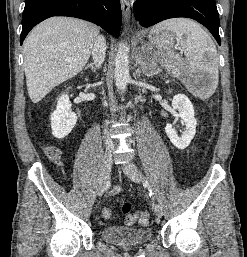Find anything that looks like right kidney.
I'll return each instance as SVG.
<instances>
[{
	"label": "right kidney",
	"mask_w": 247,
	"mask_h": 257,
	"mask_svg": "<svg viewBox=\"0 0 247 257\" xmlns=\"http://www.w3.org/2000/svg\"><path fill=\"white\" fill-rule=\"evenodd\" d=\"M77 122V115L71 111V103L67 94L59 97L56 110L51 114L52 135L63 139L73 129Z\"/></svg>",
	"instance_id": "1"
}]
</instances>
